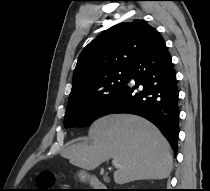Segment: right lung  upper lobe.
<instances>
[{"mask_svg": "<svg viewBox=\"0 0 210 191\" xmlns=\"http://www.w3.org/2000/svg\"><path fill=\"white\" fill-rule=\"evenodd\" d=\"M158 35L155 28L142 20L122 22L104 31L81 52L69 98L88 89L105 72L129 68Z\"/></svg>", "mask_w": 210, "mask_h": 191, "instance_id": "1", "label": "right lung upper lobe"}]
</instances>
